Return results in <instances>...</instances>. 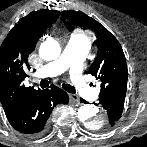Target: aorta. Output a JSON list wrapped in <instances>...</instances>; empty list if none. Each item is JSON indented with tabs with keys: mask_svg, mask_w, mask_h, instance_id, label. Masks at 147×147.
Instances as JSON below:
<instances>
[{
	"mask_svg": "<svg viewBox=\"0 0 147 147\" xmlns=\"http://www.w3.org/2000/svg\"><path fill=\"white\" fill-rule=\"evenodd\" d=\"M60 53L59 43L52 38L43 42L39 49L40 57L46 61L57 59ZM77 117L90 130H101L106 127L108 121L107 115L92 104L79 107Z\"/></svg>",
	"mask_w": 147,
	"mask_h": 147,
	"instance_id": "762f6f07",
	"label": "aorta"
}]
</instances>
